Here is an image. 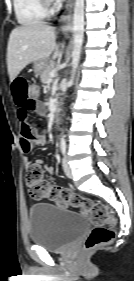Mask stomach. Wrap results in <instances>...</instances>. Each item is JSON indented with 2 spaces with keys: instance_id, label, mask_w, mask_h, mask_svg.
Returning a JSON list of instances; mask_svg holds the SVG:
<instances>
[{
  "instance_id": "stomach-1",
  "label": "stomach",
  "mask_w": 134,
  "mask_h": 281,
  "mask_svg": "<svg viewBox=\"0 0 134 281\" xmlns=\"http://www.w3.org/2000/svg\"><path fill=\"white\" fill-rule=\"evenodd\" d=\"M48 63V60H40L34 62V71L36 73H41L48 66Z\"/></svg>"
}]
</instances>
